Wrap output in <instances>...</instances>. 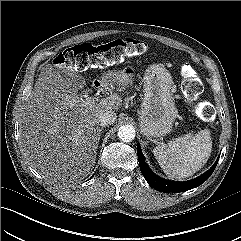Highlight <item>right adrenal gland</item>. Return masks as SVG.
<instances>
[{"mask_svg": "<svg viewBox=\"0 0 241 241\" xmlns=\"http://www.w3.org/2000/svg\"><path fill=\"white\" fill-rule=\"evenodd\" d=\"M101 131H102V129H100V131H99L98 142H99V140H100Z\"/></svg>", "mask_w": 241, "mask_h": 241, "instance_id": "right-adrenal-gland-1", "label": "right adrenal gland"}]
</instances>
